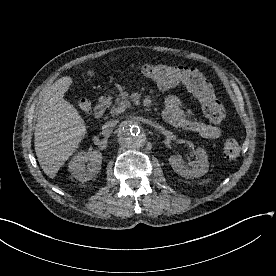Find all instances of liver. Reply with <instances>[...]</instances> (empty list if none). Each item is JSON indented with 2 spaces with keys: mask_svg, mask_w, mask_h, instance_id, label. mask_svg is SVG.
Wrapping results in <instances>:
<instances>
[{
  "mask_svg": "<svg viewBox=\"0 0 276 276\" xmlns=\"http://www.w3.org/2000/svg\"><path fill=\"white\" fill-rule=\"evenodd\" d=\"M71 84L70 76L58 79L44 91L38 104L35 151L41 168L50 178L56 176L87 133L77 109L64 99Z\"/></svg>",
  "mask_w": 276,
  "mask_h": 276,
  "instance_id": "obj_1",
  "label": "liver"
}]
</instances>
